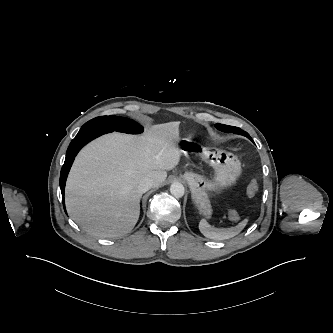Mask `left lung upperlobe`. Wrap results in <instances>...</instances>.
I'll use <instances>...</instances> for the list:
<instances>
[{"label": "left lung upper lobe", "mask_w": 333, "mask_h": 333, "mask_svg": "<svg viewBox=\"0 0 333 333\" xmlns=\"http://www.w3.org/2000/svg\"><path fill=\"white\" fill-rule=\"evenodd\" d=\"M215 127L218 130L223 131V132H233L235 134H241L244 136H245V134H248L247 132L241 130L238 127L228 126V125H224V124H216Z\"/></svg>", "instance_id": "left-lung-upper-lobe-1"}]
</instances>
